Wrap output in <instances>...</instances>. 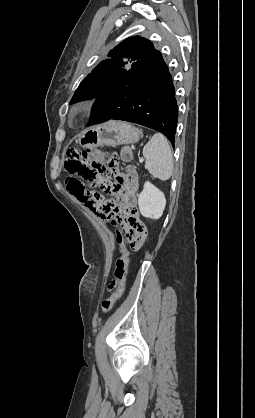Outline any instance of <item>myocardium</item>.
<instances>
[{"label":"myocardium","mask_w":255,"mask_h":418,"mask_svg":"<svg viewBox=\"0 0 255 418\" xmlns=\"http://www.w3.org/2000/svg\"><path fill=\"white\" fill-rule=\"evenodd\" d=\"M94 115V104L84 103L76 107L73 112L72 118L76 123H84L88 121Z\"/></svg>","instance_id":"f54148a6"}]
</instances>
